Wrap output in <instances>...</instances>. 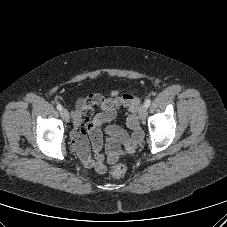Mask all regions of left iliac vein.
I'll use <instances>...</instances> for the list:
<instances>
[{"label": "left iliac vein", "instance_id": "obj_1", "mask_svg": "<svg viewBox=\"0 0 227 227\" xmlns=\"http://www.w3.org/2000/svg\"><path fill=\"white\" fill-rule=\"evenodd\" d=\"M138 115L140 120H145L147 117V107L145 105H141L138 111Z\"/></svg>", "mask_w": 227, "mask_h": 227}]
</instances>
